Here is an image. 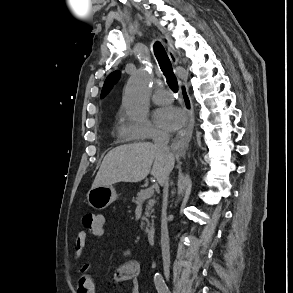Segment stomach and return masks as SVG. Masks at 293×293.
I'll return each mask as SVG.
<instances>
[{
    "label": "stomach",
    "instance_id": "stomach-1",
    "mask_svg": "<svg viewBox=\"0 0 293 293\" xmlns=\"http://www.w3.org/2000/svg\"><path fill=\"white\" fill-rule=\"evenodd\" d=\"M117 194L112 186H98L91 188L87 194V200L91 207L102 210L116 200Z\"/></svg>",
    "mask_w": 293,
    "mask_h": 293
}]
</instances>
